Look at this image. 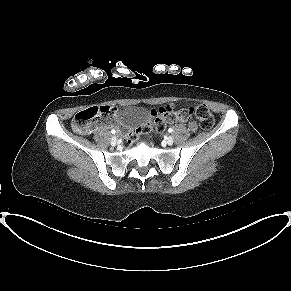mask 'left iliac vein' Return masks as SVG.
Listing matches in <instances>:
<instances>
[{
  "label": "left iliac vein",
  "instance_id": "1",
  "mask_svg": "<svg viewBox=\"0 0 291 291\" xmlns=\"http://www.w3.org/2000/svg\"><path fill=\"white\" fill-rule=\"evenodd\" d=\"M166 143H167L168 145H172V144L174 143V139H173V137H172V136L167 137V139H166Z\"/></svg>",
  "mask_w": 291,
  "mask_h": 291
}]
</instances>
